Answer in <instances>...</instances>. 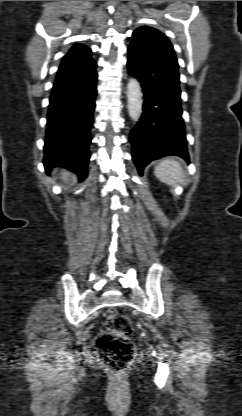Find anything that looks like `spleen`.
<instances>
[{"label":"spleen","mask_w":242,"mask_h":416,"mask_svg":"<svg viewBox=\"0 0 242 416\" xmlns=\"http://www.w3.org/2000/svg\"><path fill=\"white\" fill-rule=\"evenodd\" d=\"M155 176L163 183L175 185L183 179L181 164L172 159L164 158L154 169Z\"/></svg>","instance_id":"spleen-1"}]
</instances>
